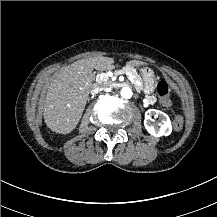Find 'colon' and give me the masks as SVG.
I'll list each match as a JSON object with an SVG mask.
<instances>
[{
	"mask_svg": "<svg viewBox=\"0 0 217 217\" xmlns=\"http://www.w3.org/2000/svg\"><path fill=\"white\" fill-rule=\"evenodd\" d=\"M157 93L159 95L161 104L164 107L171 106V98H170V86L169 83L165 80H160L156 86ZM184 115L179 113L174 116L173 125L174 128L178 131L182 130L184 127Z\"/></svg>",
	"mask_w": 217,
	"mask_h": 217,
	"instance_id": "obj_1",
	"label": "colon"
}]
</instances>
